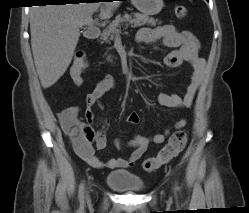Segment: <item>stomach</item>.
<instances>
[{"label":"stomach","instance_id":"1","mask_svg":"<svg viewBox=\"0 0 249 213\" xmlns=\"http://www.w3.org/2000/svg\"><path fill=\"white\" fill-rule=\"evenodd\" d=\"M132 3L145 15L158 14L163 8V0H132Z\"/></svg>","mask_w":249,"mask_h":213}]
</instances>
